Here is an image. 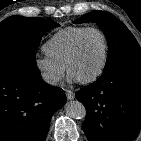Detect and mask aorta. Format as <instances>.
I'll use <instances>...</instances> for the list:
<instances>
[{
    "label": "aorta",
    "instance_id": "1",
    "mask_svg": "<svg viewBox=\"0 0 141 141\" xmlns=\"http://www.w3.org/2000/svg\"><path fill=\"white\" fill-rule=\"evenodd\" d=\"M65 112L73 119H83L86 116V109L84 105L77 100L67 102L65 104Z\"/></svg>",
    "mask_w": 141,
    "mask_h": 141
}]
</instances>
